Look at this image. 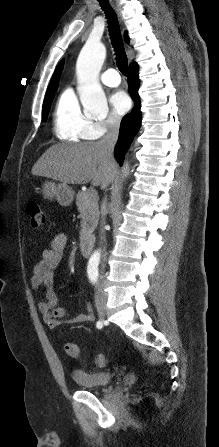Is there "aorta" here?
<instances>
[{
  "instance_id": "obj_1",
  "label": "aorta",
  "mask_w": 219,
  "mask_h": 447,
  "mask_svg": "<svg viewBox=\"0 0 219 447\" xmlns=\"http://www.w3.org/2000/svg\"><path fill=\"white\" fill-rule=\"evenodd\" d=\"M106 55L105 46L100 42L87 41L77 59L76 71L80 84V101L85 112L100 116L108 111L105 94L98 83V75ZM124 166V172L127 170ZM92 258H99L94 252Z\"/></svg>"
}]
</instances>
